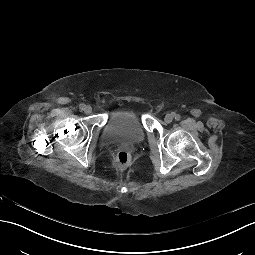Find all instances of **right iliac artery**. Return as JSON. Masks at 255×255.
<instances>
[{"mask_svg": "<svg viewBox=\"0 0 255 255\" xmlns=\"http://www.w3.org/2000/svg\"><path fill=\"white\" fill-rule=\"evenodd\" d=\"M84 108H85V104L81 103V104L79 105V110H84Z\"/></svg>", "mask_w": 255, "mask_h": 255, "instance_id": "82829eb1", "label": "right iliac artery"}]
</instances>
